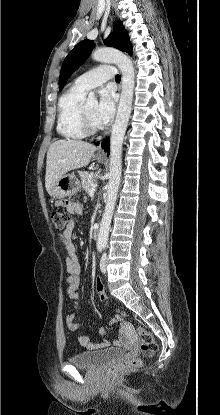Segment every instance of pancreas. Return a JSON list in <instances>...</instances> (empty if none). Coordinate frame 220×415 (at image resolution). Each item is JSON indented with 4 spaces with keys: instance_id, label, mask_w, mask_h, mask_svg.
<instances>
[{
    "instance_id": "cf45deb5",
    "label": "pancreas",
    "mask_w": 220,
    "mask_h": 415,
    "mask_svg": "<svg viewBox=\"0 0 220 415\" xmlns=\"http://www.w3.org/2000/svg\"><path fill=\"white\" fill-rule=\"evenodd\" d=\"M79 176L81 178L82 187L86 192L96 185L95 174L88 171H80Z\"/></svg>"
}]
</instances>
